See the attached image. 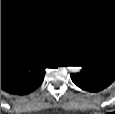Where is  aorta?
I'll list each match as a JSON object with an SVG mask.
<instances>
[{
	"mask_svg": "<svg viewBox=\"0 0 115 114\" xmlns=\"http://www.w3.org/2000/svg\"><path fill=\"white\" fill-rule=\"evenodd\" d=\"M68 69L71 71V72H79L81 67L80 66H70L68 67Z\"/></svg>",
	"mask_w": 115,
	"mask_h": 114,
	"instance_id": "1",
	"label": "aorta"
}]
</instances>
